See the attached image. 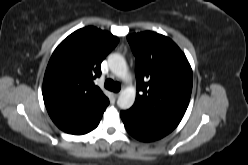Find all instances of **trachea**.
Returning a JSON list of instances; mask_svg holds the SVG:
<instances>
[{"label":"trachea","instance_id":"3493384b","mask_svg":"<svg viewBox=\"0 0 248 165\" xmlns=\"http://www.w3.org/2000/svg\"><path fill=\"white\" fill-rule=\"evenodd\" d=\"M105 88L110 90V91H113V92H119L120 89H121V85L120 83L118 82H114L113 80L111 79H107L105 81V84H104Z\"/></svg>","mask_w":248,"mask_h":165}]
</instances>
